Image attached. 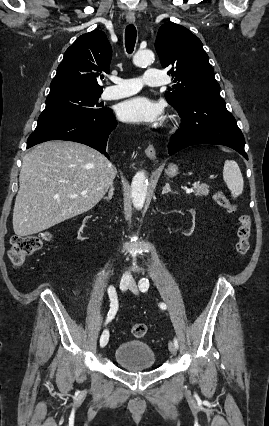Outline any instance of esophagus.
<instances>
[{
    "label": "esophagus",
    "instance_id": "34e87169",
    "mask_svg": "<svg viewBox=\"0 0 269 426\" xmlns=\"http://www.w3.org/2000/svg\"><path fill=\"white\" fill-rule=\"evenodd\" d=\"M127 22L128 23H134L135 22V16H127ZM145 153L147 155V157L151 160H155L156 159V151L153 147V145H149L146 150Z\"/></svg>",
    "mask_w": 269,
    "mask_h": 426
}]
</instances>
